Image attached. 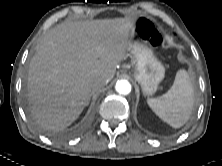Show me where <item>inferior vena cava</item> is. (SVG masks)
Instances as JSON below:
<instances>
[{
	"mask_svg": "<svg viewBox=\"0 0 222 166\" xmlns=\"http://www.w3.org/2000/svg\"><path fill=\"white\" fill-rule=\"evenodd\" d=\"M105 85L106 82L104 80L95 81L92 85L93 92L102 91Z\"/></svg>",
	"mask_w": 222,
	"mask_h": 166,
	"instance_id": "inferior-vena-cava-1",
	"label": "inferior vena cava"
}]
</instances>
